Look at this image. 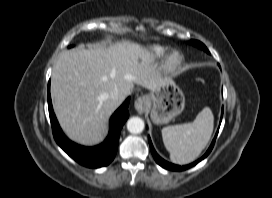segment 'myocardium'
<instances>
[{
    "instance_id": "obj_1",
    "label": "myocardium",
    "mask_w": 272,
    "mask_h": 198,
    "mask_svg": "<svg viewBox=\"0 0 272 198\" xmlns=\"http://www.w3.org/2000/svg\"><path fill=\"white\" fill-rule=\"evenodd\" d=\"M183 62V56L178 51L170 52L164 61V68L169 72H175Z\"/></svg>"
}]
</instances>
